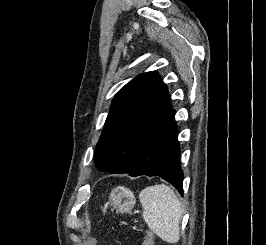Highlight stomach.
<instances>
[{"instance_id": "0dacf381", "label": "stomach", "mask_w": 266, "mask_h": 245, "mask_svg": "<svg viewBox=\"0 0 266 245\" xmlns=\"http://www.w3.org/2000/svg\"><path fill=\"white\" fill-rule=\"evenodd\" d=\"M136 205V197L130 189L126 187H115L109 197V207L116 213H131Z\"/></svg>"}]
</instances>
